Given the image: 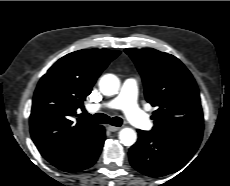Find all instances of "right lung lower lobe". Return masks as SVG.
Segmentation results:
<instances>
[{"label": "right lung lower lobe", "mask_w": 230, "mask_h": 186, "mask_svg": "<svg viewBox=\"0 0 230 186\" xmlns=\"http://www.w3.org/2000/svg\"><path fill=\"white\" fill-rule=\"evenodd\" d=\"M105 141V129L99 126L95 133L64 161L54 166L65 172H75L91 167L98 159Z\"/></svg>", "instance_id": "obj_1"}]
</instances>
